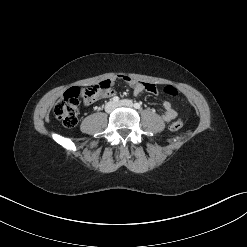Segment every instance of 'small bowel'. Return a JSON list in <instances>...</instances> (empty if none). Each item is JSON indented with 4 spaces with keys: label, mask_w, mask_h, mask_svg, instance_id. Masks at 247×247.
<instances>
[{
    "label": "small bowel",
    "mask_w": 247,
    "mask_h": 247,
    "mask_svg": "<svg viewBox=\"0 0 247 247\" xmlns=\"http://www.w3.org/2000/svg\"><path fill=\"white\" fill-rule=\"evenodd\" d=\"M119 79L125 81L130 87H132L136 95L144 91H148L152 93L156 91L155 86L148 82L135 80L127 76H120ZM115 93L116 92L113 88V81H111L110 88L102 92L95 100H89L88 98L84 97V101L86 105H89L96 100L107 98V97H112L113 95H115ZM175 116H176V111L172 107L171 103L168 100H165L163 102V112H162L163 120L166 122H170L175 118Z\"/></svg>",
    "instance_id": "obj_1"
}]
</instances>
